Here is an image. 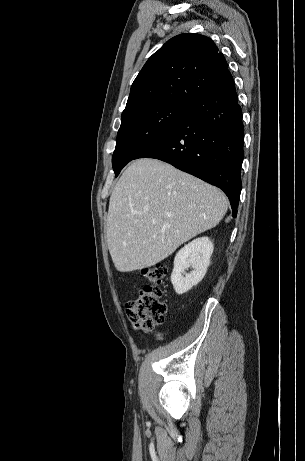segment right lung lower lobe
I'll return each mask as SVG.
<instances>
[{
  "instance_id": "right-lung-lower-lobe-1",
  "label": "right lung lower lobe",
  "mask_w": 305,
  "mask_h": 461,
  "mask_svg": "<svg viewBox=\"0 0 305 461\" xmlns=\"http://www.w3.org/2000/svg\"><path fill=\"white\" fill-rule=\"evenodd\" d=\"M244 130L233 78L189 104L171 131L138 158H155L222 189L237 216Z\"/></svg>"
}]
</instances>
